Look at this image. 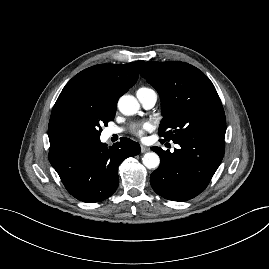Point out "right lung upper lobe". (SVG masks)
I'll list each match as a JSON object with an SVG mask.
<instances>
[{
	"mask_svg": "<svg viewBox=\"0 0 269 269\" xmlns=\"http://www.w3.org/2000/svg\"><path fill=\"white\" fill-rule=\"evenodd\" d=\"M143 63L95 65L74 76L63 88L51 112L50 150L81 142L75 125L78 109L115 111L118 98L136 83Z\"/></svg>",
	"mask_w": 269,
	"mask_h": 269,
	"instance_id": "obj_1",
	"label": "right lung upper lobe"
}]
</instances>
